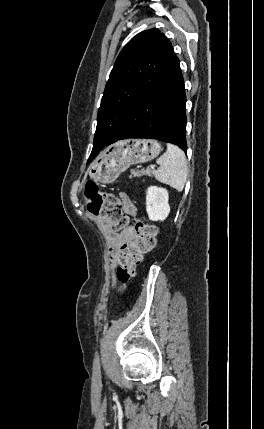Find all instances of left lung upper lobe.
<instances>
[{
	"label": "left lung upper lobe",
	"mask_w": 264,
	"mask_h": 429,
	"mask_svg": "<svg viewBox=\"0 0 264 429\" xmlns=\"http://www.w3.org/2000/svg\"><path fill=\"white\" fill-rule=\"evenodd\" d=\"M171 46L163 33L150 29L137 34L122 49L98 110L90 156L126 134L142 99L161 73Z\"/></svg>",
	"instance_id": "1"
}]
</instances>
